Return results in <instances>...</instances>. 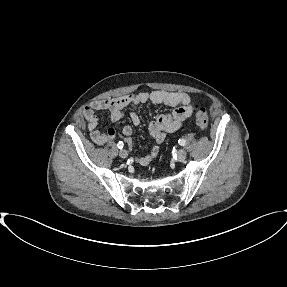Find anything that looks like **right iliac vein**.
<instances>
[{"mask_svg": "<svg viewBox=\"0 0 287 287\" xmlns=\"http://www.w3.org/2000/svg\"><path fill=\"white\" fill-rule=\"evenodd\" d=\"M119 156L121 158H127L128 157V152L125 149L120 150Z\"/></svg>", "mask_w": 287, "mask_h": 287, "instance_id": "1", "label": "right iliac vein"}]
</instances>
